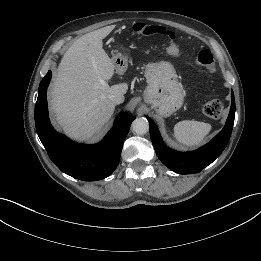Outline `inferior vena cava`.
Segmentation results:
<instances>
[{"label":"inferior vena cava","mask_w":261,"mask_h":261,"mask_svg":"<svg viewBox=\"0 0 261 261\" xmlns=\"http://www.w3.org/2000/svg\"><path fill=\"white\" fill-rule=\"evenodd\" d=\"M109 99L116 105V104L123 103L124 96L121 94H111L109 96Z\"/></svg>","instance_id":"602c4592"}]
</instances>
